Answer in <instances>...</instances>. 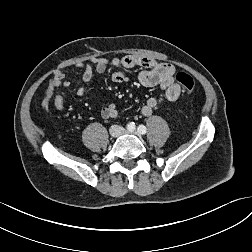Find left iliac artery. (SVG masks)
<instances>
[{"mask_svg":"<svg viewBox=\"0 0 252 252\" xmlns=\"http://www.w3.org/2000/svg\"><path fill=\"white\" fill-rule=\"evenodd\" d=\"M138 132L140 134H145L146 133V127L144 125H139V127L137 128Z\"/></svg>","mask_w":252,"mask_h":252,"instance_id":"left-iliac-artery-1","label":"left iliac artery"}]
</instances>
